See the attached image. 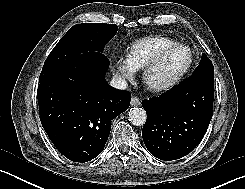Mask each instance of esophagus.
Returning a JSON list of instances; mask_svg holds the SVG:
<instances>
[{
	"instance_id": "1",
	"label": "esophagus",
	"mask_w": 245,
	"mask_h": 189,
	"mask_svg": "<svg viewBox=\"0 0 245 189\" xmlns=\"http://www.w3.org/2000/svg\"><path fill=\"white\" fill-rule=\"evenodd\" d=\"M141 104V101L139 100V98L133 96L131 98V106L135 107V106H139Z\"/></svg>"
}]
</instances>
